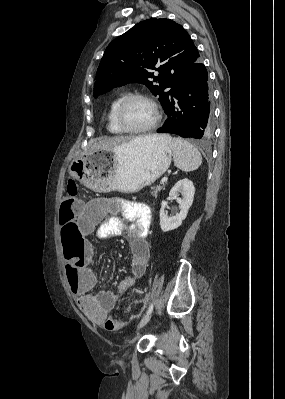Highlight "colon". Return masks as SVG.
<instances>
[{"mask_svg":"<svg viewBox=\"0 0 285 399\" xmlns=\"http://www.w3.org/2000/svg\"><path fill=\"white\" fill-rule=\"evenodd\" d=\"M81 205L78 198V185L70 180L67 185V194L60 208V223L63 228V238L68 247L66 254V274L69 278H75L84 267L86 252L77 240L79 224L75 221L76 208Z\"/></svg>","mask_w":285,"mask_h":399,"instance_id":"obj_1","label":"colon"}]
</instances>
